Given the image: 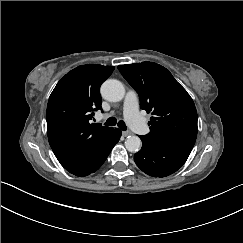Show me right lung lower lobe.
Listing matches in <instances>:
<instances>
[{
	"instance_id": "right-lung-lower-lobe-1",
	"label": "right lung lower lobe",
	"mask_w": 243,
	"mask_h": 243,
	"mask_svg": "<svg viewBox=\"0 0 243 243\" xmlns=\"http://www.w3.org/2000/svg\"><path fill=\"white\" fill-rule=\"evenodd\" d=\"M121 137L119 129L113 131L104 139V141L83 161L65 168L68 172L76 176H87L97 171L107 159L109 153Z\"/></svg>"
}]
</instances>
